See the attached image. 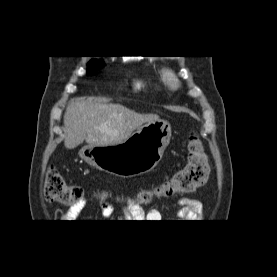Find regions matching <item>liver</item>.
Segmentation results:
<instances>
[{
  "label": "liver",
  "instance_id": "1",
  "mask_svg": "<svg viewBox=\"0 0 277 277\" xmlns=\"http://www.w3.org/2000/svg\"><path fill=\"white\" fill-rule=\"evenodd\" d=\"M157 120L156 114H139L120 104L75 98L64 114V145L74 149L83 141L90 146L118 144L143 124Z\"/></svg>",
  "mask_w": 277,
  "mask_h": 277
}]
</instances>
